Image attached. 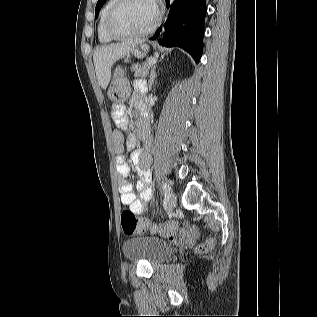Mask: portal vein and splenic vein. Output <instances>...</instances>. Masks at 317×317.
Here are the masks:
<instances>
[{"instance_id": "portal-vein-and-splenic-vein-1", "label": "portal vein and splenic vein", "mask_w": 317, "mask_h": 317, "mask_svg": "<svg viewBox=\"0 0 317 317\" xmlns=\"http://www.w3.org/2000/svg\"><path fill=\"white\" fill-rule=\"evenodd\" d=\"M156 63V59H151L150 61H149V64H155Z\"/></svg>"}]
</instances>
